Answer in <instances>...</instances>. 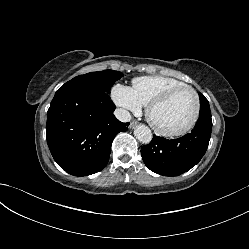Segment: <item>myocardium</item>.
Segmentation results:
<instances>
[{
  "mask_svg": "<svg viewBox=\"0 0 249 249\" xmlns=\"http://www.w3.org/2000/svg\"><path fill=\"white\" fill-rule=\"evenodd\" d=\"M183 90L190 91L193 94L194 99H195V109H194L192 118L183 128L178 129V130L167 131V130L160 128L158 125H156V123L153 121V118H152V113L154 109H156L158 106L163 105L164 103L169 101L175 94ZM200 109H201V102H200V97L197 91L189 85H180V86H176V87L169 89L168 91H166L165 93H163L162 95L154 99L147 106L146 117L151 127L160 135L166 136V137H178V136H182L188 133L194 127V125L196 124L199 118Z\"/></svg>",
  "mask_w": 249,
  "mask_h": 249,
  "instance_id": "f54148a6",
  "label": "myocardium"
}]
</instances>
